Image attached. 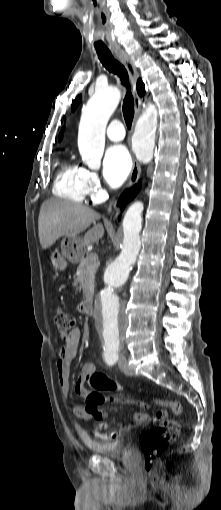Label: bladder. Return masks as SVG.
Returning a JSON list of instances; mask_svg holds the SVG:
<instances>
[{"label": "bladder", "mask_w": 221, "mask_h": 510, "mask_svg": "<svg viewBox=\"0 0 221 510\" xmlns=\"http://www.w3.org/2000/svg\"><path fill=\"white\" fill-rule=\"evenodd\" d=\"M136 435L134 433L125 434L119 439L110 442H90L87 447L94 453L103 455L107 458H119L128 455L134 447Z\"/></svg>", "instance_id": "31cf9c89"}]
</instances>
